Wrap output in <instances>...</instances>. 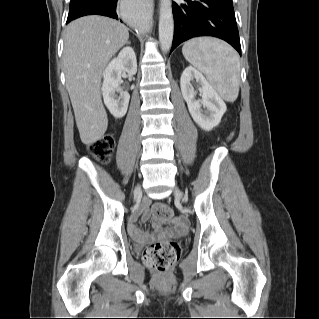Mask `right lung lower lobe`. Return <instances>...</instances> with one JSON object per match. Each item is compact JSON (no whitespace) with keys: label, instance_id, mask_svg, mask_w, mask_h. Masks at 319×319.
I'll list each match as a JSON object with an SVG mask.
<instances>
[{"label":"right lung lower lobe","instance_id":"right-lung-lower-lobe-1","mask_svg":"<svg viewBox=\"0 0 319 319\" xmlns=\"http://www.w3.org/2000/svg\"><path fill=\"white\" fill-rule=\"evenodd\" d=\"M116 7L117 0H80L70 8L67 23L86 15H103L118 20Z\"/></svg>","mask_w":319,"mask_h":319}]
</instances>
